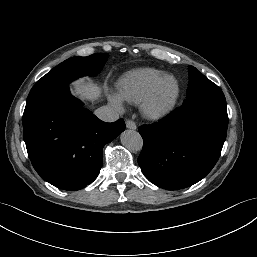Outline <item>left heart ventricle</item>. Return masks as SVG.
Here are the masks:
<instances>
[{"instance_id":"b2bd125f","label":"left heart ventricle","mask_w":257,"mask_h":257,"mask_svg":"<svg viewBox=\"0 0 257 257\" xmlns=\"http://www.w3.org/2000/svg\"><path fill=\"white\" fill-rule=\"evenodd\" d=\"M176 91V82L173 79H167L160 91L156 101V107H162L165 105L174 95Z\"/></svg>"}]
</instances>
